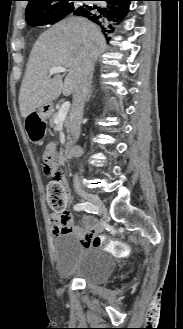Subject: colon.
<instances>
[{"instance_id": "1", "label": "colon", "mask_w": 183, "mask_h": 329, "mask_svg": "<svg viewBox=\"0 0 183 329\" xmlns=\"http://www.w3.org/2000/svg\"><path fill=\"white\" fill-rule=\"evenodd\" d=\"M44 172L51 178L47 186V200L52 214L58 217H65L69 201V192L62 179V173L56 167L50 157L44 158ZM93 244L96 247L108 248L116 255L123 256L128 253V248L120 242H110L105 236H95Z\"/></svg>"}]
</instances>
